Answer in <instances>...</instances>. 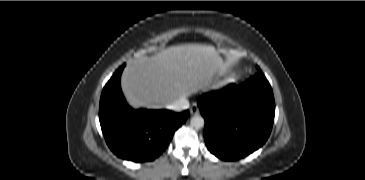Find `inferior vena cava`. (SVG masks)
Returning a JSON list of instances; mask_svg holds the SVG:
<instances>
[{"instance_id":"1","label":"inferior vena cava","mask_w":365,"mask_h":180,"mask_svg":"<svg viewBox=\"0 0 365 180\" xmlns=\"http://www.w3.org/2000/svg\"><path fill=\"white\" fill-rule=\"evenodd\" d=\"M168 109L182 111L189 108V101L185 97H181L172 104L166 106Z\"/></svg>"}]
</instances>
